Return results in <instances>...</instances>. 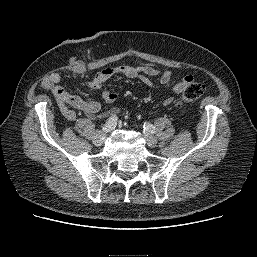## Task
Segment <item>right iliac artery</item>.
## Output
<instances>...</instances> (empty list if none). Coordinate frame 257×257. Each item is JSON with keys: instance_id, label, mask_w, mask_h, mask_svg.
Wrapping results in <instances>:
<instances>
[{"instance_id": "82829eb1", "label": "right iliac artery", "mask_w": 257, "mask_h": 257, "mask_svg": "<svg viewBox=\"0 0 257 257\" xmlns=\"http://www.w3.org/2000/svg\"><path fill=\"white\" fill-rule=\"evenodd\" d=\"M116 122H117V117L115 115L111 116L108 121L106 122V124L104 125V127L102 128V130L104 132H109L111 131L113 128H115L116 126Z\"/></svg>"}]
</instances>
